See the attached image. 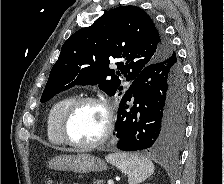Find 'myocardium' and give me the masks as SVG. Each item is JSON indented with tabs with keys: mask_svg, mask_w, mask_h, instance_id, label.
I'll return each mask as SVG.
<instances>
[{
	"mask_svg": "<svg viewBox=\"0 0 224 184\" xmlns=\"http://www.w3.org/2000/svg\"><path fill=\"white\" fill-rule=\"evenodd\" d=\"M85 103H94L103 108L106 116L104 131L99 139L91 143H78L75 142L69 134V123L70 120L79 106ZM115 112L110 102L103 97H98L94 95H85L75 98L64 111L60 120V134L64 143L80 149V150H90L97 148L108 141L111 137L114 126H115Z\"/></svg>",
	"mask_w": 224,
	"mask_h": 184,
	"instance_id": "myocardium-1",
	"label": "myocardium"
}]
</instances>
